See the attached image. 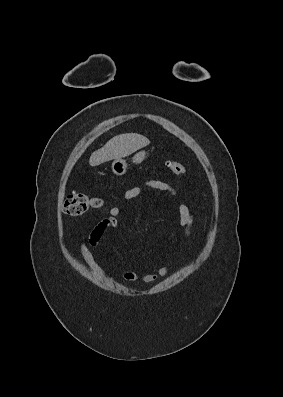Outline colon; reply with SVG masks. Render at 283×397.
<instances>
[{"instance_id": "1", "label": "colon", "mask_w": 283, "mask_h": 397, "mask_svg": "<svg viewBox=\"0 0 283 397\" xmlns=\"http://www.w3.org/2000/svg\"><path fill=\"white\" fill-rule=\"evenodd\" d=\"M166 165L174 175H182L186 172L185 166L179 162H167ZM101 205L102 201L98 198L83 192H73L66 197L63 212L69 216H79L90 208H98Z\"/></svg>"}]
</instances>
